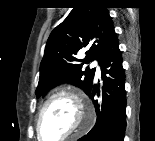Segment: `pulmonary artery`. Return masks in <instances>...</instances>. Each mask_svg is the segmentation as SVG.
<instances>
[{"instance_id": "obj_1", "label": "pulmonary artery", "mask_w": 155, "mask_h": 141, "mask_svg": "<svg viewBox=\"0 0 155 141\" xmlns=\"http://www.w3.org/2000/svg\"><path fill=\"white\" fill-rule=\"evenodd\" d=\"M94 65H95V63H94ZM96 74H97V76H100V70L99 69H97Z\"/></svg>"}]
</instances>
